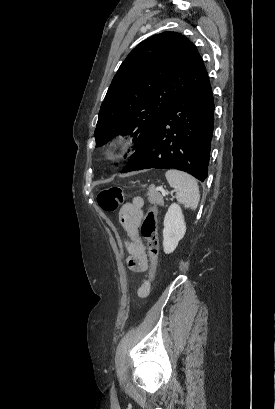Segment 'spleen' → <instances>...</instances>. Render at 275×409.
Masks as SVG:
<instances>
[{
	"label": "spleen",
	"instance_id": "1",
	"mask_svg": "<svg viewBox=\"0 0 275 409\" xmlns=\"http://www.w3.org/2000/svg\"><path fill=\"white\" fill-rule=\"evenodd\" d=\"M166 178L175 188L176 198L186 209L195 211L199 202V186L196 178L182 170H167Z\"/></svg>",
	"mask_w": 275,
	"mask_h": 409
}]
</instances>
